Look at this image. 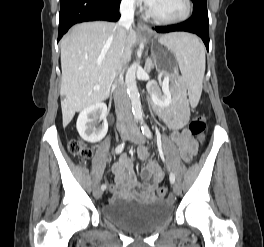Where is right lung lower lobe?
Segmentation results:
<instances>
[{"label":"right lung lower lobe","mask_w":264,"mask_h":247,"mask_svg":"<svg viewBox=\"0 0 264 247\" xmlns=\"http://www.w3.org/2000/svg\"><path fill=\"white\" fill-rule=\"evenodd\" d=\"M121 0H60L58 40L76 24L86 21H117Z\"/></svg>","instance_id":"obj_1"}]
</instances>
